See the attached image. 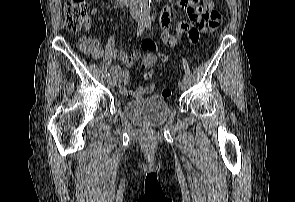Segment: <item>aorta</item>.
<instances>
[{"label":"aorta","instance_id":"aorta-1","mask_svg":"<svg viewBox=\"0 0 295 202\" xmlns=\"http://www.w3.org/2000/svg\"><path fill=\"white\" fill-rule=\"evenodd\" d=\"M150 2L151 0H140V13L143 19H150Z\"/></svg>","mask_w":295,"mask_h":202}]
</instances>
